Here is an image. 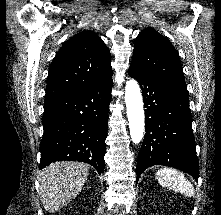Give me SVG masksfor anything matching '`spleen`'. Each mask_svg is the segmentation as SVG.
Wrapping results in <instances>:
<instances>
[{
	"label": "spleen",
	"instance_id": "1",
	"mask_svg": "<svg viewBox=\"0 0 221 215\" xmlns=\"http://www.w3.org/2000/svg\"><path fill=\"white\" fill-rule=\"evenodd\" d=\"M156 178L164 187L185 194L188 197L195 195L191 182L177 170L172 168L160 169L156 173Z\"/></svg>",
	"mask_w": 221,
	"mask_h": 215
}]
</instances>
